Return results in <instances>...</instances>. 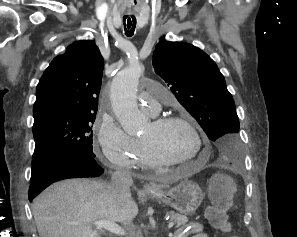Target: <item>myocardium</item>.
Segmentation results:
<instances>
[{"instance_id":"obj_1","label":"myocardium","mask_w":297,"mask_h":237,"mask_svg":"<svg viewBox=\"0 0 297 237\" xmlns=\"http://www.w3.org/2000/svg\"><path fill=\"white\" fill-rule=\"evenodd\" d=\"M152 123L156 127H160L169 123H182L190 129L197 142V151L193 156L183 160H171L168 159L165 155H163L152 143L146 140H141L148 154V157L155 164V166H179L188 164L192 161H196L199 159L204 143L201 134L199 133L197 127L193 124L192 121L180 115H167L154 117L152 119Z\"/></svg>"}]
</instances>
